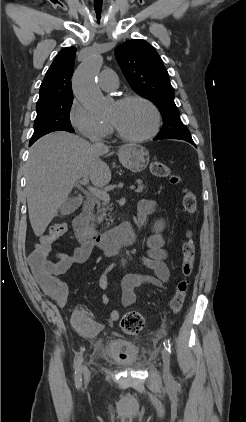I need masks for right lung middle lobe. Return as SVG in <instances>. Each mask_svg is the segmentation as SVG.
<instances>
[{"mask_svg":"<svg viewBox=\"0 0 246 422\" xmlns=\"http://www.w3.org/2000/svg\"><path fill=\"white\" fill-rule=\"evenodd\" d=\"M73 98H64L37 109L34 122V133L30 143H34L40 137L54 131L74 132L69 114Z\"/></svg>","mask_w":246,"mask_h":422,"instance_id":"1","label":"right lung middle lobe"}]
</instances>
